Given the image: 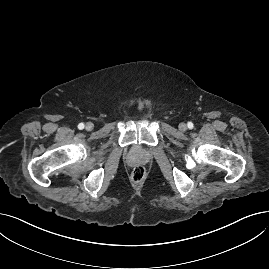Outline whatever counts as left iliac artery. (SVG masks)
I'll list each match as a JSON object with an SVG mask.
<instances>
[{
  "label": "left iliac artery",
  "instance_id": "44dca946",
  "mask_svg": "<svg viewBox=\"0 0 269 269\" xmlns=\"http://www.w3.org/2000/svg\"><path fill=\"white\" fill-rule=\"evenodd\" d=\"M187 126H188L189 129H193L194 124L192 122H188Z\"/></svg>",
  "mask_w": 269,
  "mask_h": 269
}]
</instances>
